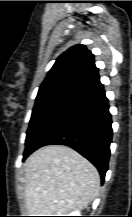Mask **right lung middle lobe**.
Segmentation results:
<instances>
[{
	"label": "right lung middle lobe",
	"instance_id": "right-lung-middle-lobe-1",
	"mask_svg": "<svg viewBox=\"0 0 132 217\" xmlns=\"http://www.w3.org/2000/svg\"><path fill=\"white\" fill-rule=\"evenodd\" d=\"M77 96L63 91L39 94L36 97L26 136V150L36 141L58 113Z\"/></svg>",
	"mask_w": 132,
	"mask_h": 217
}]
</instances>
